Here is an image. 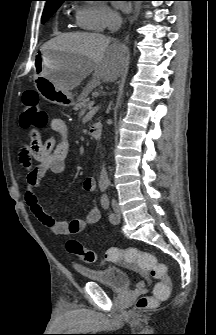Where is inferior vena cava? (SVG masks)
I'll return each mask as SVG.
<instances>
[{
  "label": "inferior vena cava",
  "instance_id": "1",
  "mask_svg": "<svg viewBox=\"0 0 216 335\" xmlns=\"http://www.w3.org/2000/svg\"><path fill=\"white\" fill-rule=\"evenodd\" d=\"M122 24V19L119 16H114L108 26V29L113 33L119 30Z\"/></svg>",
  "mask_w": 216,
  "mask_h": 335
}]
</instances>
